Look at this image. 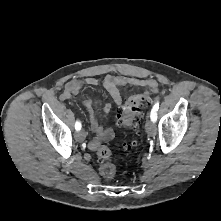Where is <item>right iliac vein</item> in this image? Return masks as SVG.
<instances>
[{
    "label": "right iliac vein",
    "instance_id": "1",
    "mask_svg": "<svg viewBox=\"0 0 221 221\" xmlns=\"http://www.w3.org/2000/svg\"><path fill=\"white\" fill-rule=\"evenodd\" d=\"M85 138H86V133H85L84 130H81V131L77 132V134H76V139H77L78 141L82 142V141L85 140Z\"/></svg>",
    "mask_w": 221,
    "mask_h": 221
}]
</instances>
